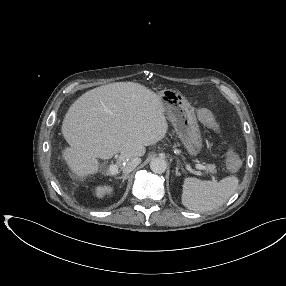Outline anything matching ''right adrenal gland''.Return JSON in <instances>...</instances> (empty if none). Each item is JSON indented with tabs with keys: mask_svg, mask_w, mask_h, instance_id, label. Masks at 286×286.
<instances>
[{
	"mask_svg": "<svg viewBox=\"0 0 286 286\" xmlns=\"http://www.w3.org/2000/svg\"><path fill=\"white\" fill-rule=\"evenodd\" d=\"M129 176L125 175V176H121L118 179H122V183L128 178Z\"/></svg>",
	"mask_w": 286,
	"mask_h": 286,
	"instance_id": "2a0ac1e0",
	"label": "right adrenal gland"
}]
</instances>
